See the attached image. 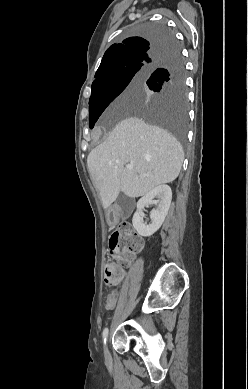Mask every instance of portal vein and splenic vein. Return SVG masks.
<instances>
[{
    "mask_svg": "<svg viewBox=\"0 0 248 389\" xmlns=\"http://www.w3.org/2000/svg\"><path fill=\"white\" fill-rule=\"evenodd\" d=\"M126 169H127V170H132V165H126ZM139 176L142 177L143 175H139Z\"/></svg>",
    "mask_w": 248,
    "mask_h": 389,
    "instance_id": "portal-vein-and-splenic-vein-1",
    "label": "portal vein and splenic vein"
}]
</instances>
